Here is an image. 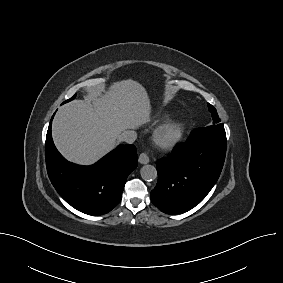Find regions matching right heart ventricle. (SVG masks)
Wrapping results in <instances>:
<instances>
[{
  "mask_svg": "<svg viewBox=\"0 0 283 283\" xmlns=\"http://www.w3.org/2000/svg\"><path fill=\"white\" fill-rule=\"evenodd\" d=\"M162 119H163V117L158 116V117L155 118V122H158V121H160Z\"/></svg>",
  "mask_w": 283,
  "mask_h": 283,
  "instance_id": "obj_1",
  "label": "right heart ventricle"
}]
</instances>
